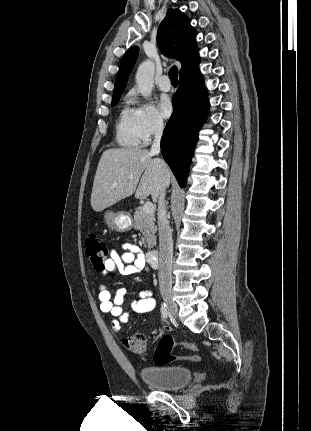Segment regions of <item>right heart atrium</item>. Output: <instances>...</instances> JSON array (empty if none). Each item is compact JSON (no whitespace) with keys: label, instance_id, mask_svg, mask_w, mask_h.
<instances>
[{"label":"right heart atrium","instance_id":"d8ad5b80","mask_svg":"<svg viewBox=\"0 0 311 431\" xmlns=\"http://www.w3.org/2000/svg\"><path fill=\"white\" fill-rule=\"evenodd\" d=\"M128 100L137 103L133 93L128 95ZM135 111L142 127V143L148 144L152 139L160 137L163 134L166 123L163 116L154 105L138 104Z\"/></svg>","mask_w":311,"mask_h":431}]
</instances>
